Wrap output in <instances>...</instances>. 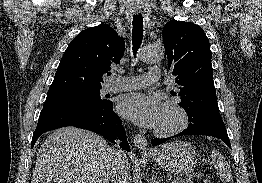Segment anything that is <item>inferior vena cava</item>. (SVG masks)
Returning a JSON list of instances; mask_svg holds the SVG:
<instances>
[{"label": "inferior vena cava", "instance_id": "1", "mask_svg": "<svg viewBox=\"0 0 262 183\" xmlns=\"http://www.w3.org/2000/svg\"><path fill=\"white\" fill-rule=\"evenodd\" d=\"M107 155L112 183H131L126 154L121 150L110 148Z\"/></svg>", "mask_w": 262, "mask_h": 183}]
</instances>
